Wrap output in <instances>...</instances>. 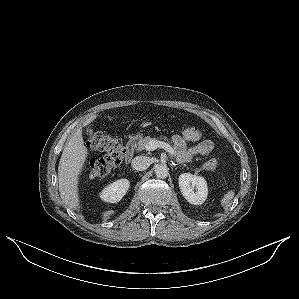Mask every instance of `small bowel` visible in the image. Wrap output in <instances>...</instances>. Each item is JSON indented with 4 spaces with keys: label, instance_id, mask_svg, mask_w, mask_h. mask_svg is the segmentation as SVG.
Listing matches in <instances>:
<instances>
[{
    "label": "small bowel",
    "instance_id": "1",
    "mask_svg": "<svg viewBox=\"0 0 299 299\" xmlns=\"http://www.w3.org/2000/svg\"><path fill=\"white\" fill-rule=\"evenodd\" d=\"M172 143L178 158L185 162L191 160L195 156H207L214 148V143L209 139L197 141L195 145L188 147L186 141L179 135H174L172 137Z\"/></svg>",
    "mask_w": 299,
    "mask_h": 299
}]
</instances>
